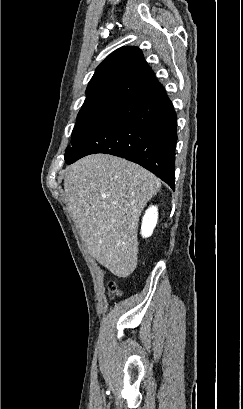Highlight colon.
<instances>
[{"label": "colon", "mask_w": 243, "mask_h": 409, "mask_svg": "<svg viewBox=\"0 0 243 409\" xmlns=\"http://www.w3.org/2000/svg\"><path fill=\"white\" fill-rule=\"evenodd\" d=\"M108 287H109L108 289H109V292H110L111 295H118L119 294V289L117 288V286L115 284L112 283Z\"/></svg>", "instance_id": "1"}]
</instances>
